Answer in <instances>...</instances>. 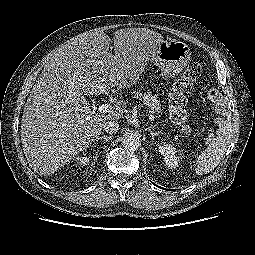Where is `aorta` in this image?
<instances>
[{"instance_id":"1","label":"aorta","mask_w":255,"mask_h":255,"mask_svg":"<svg viewBox=\"0 0 255 255\" xmlns=\"http://www.w3.org/2000/svg\"><path fill=\"white\" fill-rule=\"evenodd\" d=\"M122 146L126 151H136L140 146V140L135 135H127L123 141Z\"/></svg>"}]
</instances>
